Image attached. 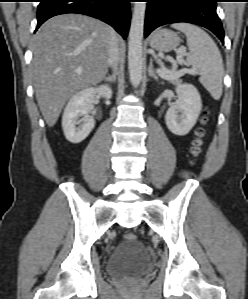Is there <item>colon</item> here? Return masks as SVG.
<instances>
[{
	"mask_svg": "<svg viewBox=\"0 0 248 299\" xmlns=\"http://www.w3.org/2000/svg\"><path fill=\"white\" fill-rule=\"evenodd\" d=\"M208 114H209V108H205L204 114H203V117H202V120H201V125L202 126L199 127L196 131L197 138L194 140L193 145H192V149H191V152L194 156H198L202 152L203 136H204V133H205V130H204L203 126L207 122ZM124 239L126 241H129V242L136 241L137 235L135 233L128 232V233L124 234Z\"/></svg>",
	"mask_w": 248,
	"mask_h": 299,
	"instance_id": "colon-1",
	"label": "colon"
}]
</instances>
